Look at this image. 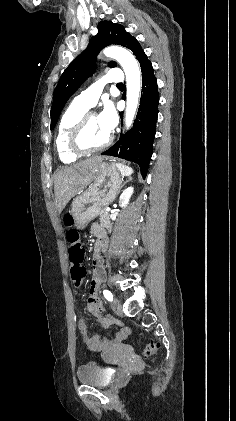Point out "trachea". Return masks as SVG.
<instances>
[{"mask_svg":"<svg viewBox=\"0 0 236 421\" xmlns=\"http://www.w3.org/2000/svg\"><path fill=\"white\" fill-rule=\"evenodd\" d=\"M123 83H117V87H122Z\"/></svg>","mask_w":236,"mask_h":421,"instance_id":"1","label":"trachea"}]
</instances>
